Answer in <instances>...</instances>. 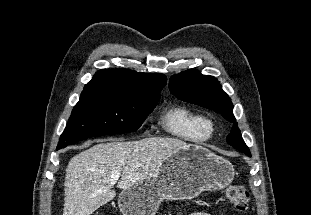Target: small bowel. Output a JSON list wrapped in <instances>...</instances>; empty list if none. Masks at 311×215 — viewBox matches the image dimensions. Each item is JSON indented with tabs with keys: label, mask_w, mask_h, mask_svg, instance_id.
Returning a JSON list of instances; mask_svg holds the SVG:
<instances>
[{
	"label": "small bowel",
	"mask_w": 311,
	"mask_h": 215,
	"mask_svg": "<svg viewBox=\"0 0 311 215\" xmlns=\"http://www.w3.org/2000/svg\"><path fill=\"white\" fill-rule=\"evenodd\" d=\"M188 215H211L207 212H203V211H198V212H193V213H190Z\"/></svg>",
	"instance_id": "obj_1"
}]
</instances>
